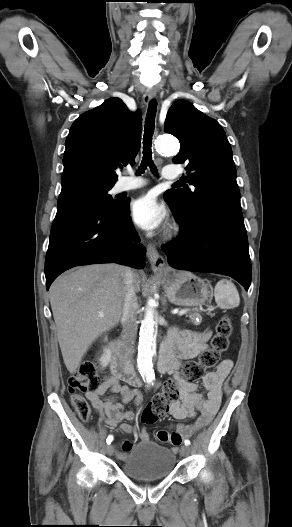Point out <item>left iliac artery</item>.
<instances>
[{
  "label": "left iliac artery",
  "instance_id": "left-iliac-artery-1",
  "mask_svg": "<svg viewBox=\"0 0 292 527\" xmlns=\"http://www.w3.org/2000/svg\"><path fill=\"white\" fill-rule=\"evenodd\" d=\"M184 443H185L186 446H189V445L191 444L190 440H188V439H186V440L184 441Z\"/></svg>",
  "mask_w": 292,
  "mask_h": 527
}]
</instances>
